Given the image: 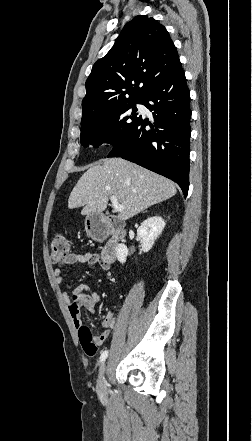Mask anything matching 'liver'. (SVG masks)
<instances>
[{
    "instance_id": "obj_1",
    "label": "liver",
    "mask_w": 252,
    "mask_h": 441,
    "mask_svg": "<svg viewBox=\"0 0 252 441\" xmlns=\"http://www.w3.org/2000/svg\"><path fill=\"white\" fill-rule=\"evenodd\" d=\"M175 184L152 171L121 158L103 159L90 167L70 193V209L83 206L82 215L102 213L111 195L124 209L118 219L128 220L176 194Z\"/></svg>"
}]
</instances>
